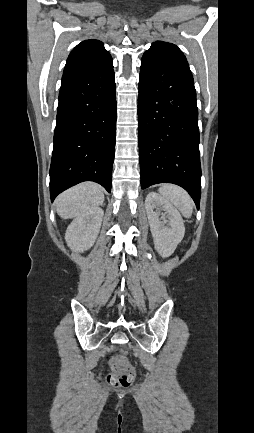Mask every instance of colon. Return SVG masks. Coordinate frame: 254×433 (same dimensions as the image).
Segmentation results:
<instances>
[{
  "label": "colon",
  "mask_w": 254,
  "mask_h": 433,
  "mask_svg": "<svg viewBox=\"0 0 254 433\" xmlns=\"http://www.w3.org/2000/svg\"><path fill=\"white\" fill-rule=\"evenodd\" d=\"M112 367L114 374L108 380L118 387H129L135 378L133 367L124 359L119 358L113 361Z\"/></svg>",
  "instance_id": "colon-1"
}]
</instances>
